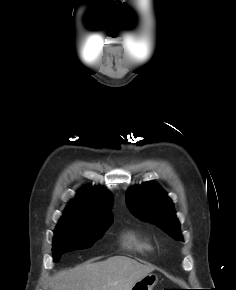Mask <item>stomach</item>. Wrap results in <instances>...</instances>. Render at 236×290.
<instances>
[{"label": "stomach", "instance_id": "1", "mask_svg": "<svg viewBox=\"0 0 236 290\" xmlns=\"http://www.w3.org/2000/svg\"><path fill=\"white\" fill-rule=\"evenodd\" d=\"M157 281V275L149 273L138 280L130 290H153V287L156 285Z\"/></svg>", "mask_w": 236, "mask_h": 290}]
</instances>
